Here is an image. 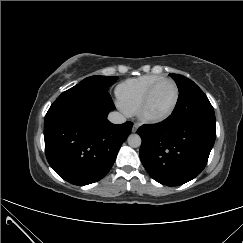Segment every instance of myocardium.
I'll list each match as a JSON object with an SVG mask.
<instances>
[{
  "mask_svg": "<svg viewBox=\"0 0 243 243\" xmlns=\"http://www.w3.org/2000/svg\"><path fill=\"white\" fill-rule=\"evenodd\" d=\"M166 82L172 83L175 88V98H174L172 106L170 107V109L167 112H165L162 115H158V116L149 115L146 110H147V106L150 102V99H151L153 93L161 84L166 83ZM179 97H180V91H179V87H178L177 83L173 79H169V78L161 79V80L157 81L155 84H153L150 87V89L147 91L146 95L144 96L143 100L141 101L140 105L137 108L136 115H137L138 119L145 124L162 123V122L168 120L173 115L175 109L177 108V105L179 102Z\"/></svg>",
  "mask_w": 243,
  "mask_h": 243,
  "instance_id": "myocardium-1",
  "label": "myocardium"
}]
</instances>
